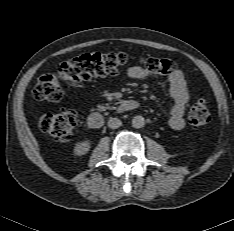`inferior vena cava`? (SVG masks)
Instances as JSON below:
<instances>
[{
	"label": "inferior vena cava",
	"mask_w": 234,
	"mask_h": 231,
	"mask_svg": "<svg viewBox=\"0 0 234 231\" xmlns=\"http://www.w3.org/2000/svg\"><path fill=\"white\" fill-rule=\"evenodd\" d=\"M122 125V122L118 118H110L108 121V127L111 129L119 128Z\"/></svg>",
	"instance_id": "602c4592"
}]
</instances>
